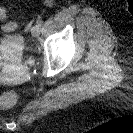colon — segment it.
Wrapping results in <instances>:
<instances>
[{"instance_id": "1", "label": "colon", "mask_w": 133, "mask_h": 133, "mask_svg": "<svg viewBox=\"0 0 133 133\" xmlns=\"http://www.w3.org/2000/svg\"><path fill=\"white\" fill-rule=\"evenodd\" d=\"M7 17V11L3 8V7H0V19H5ZM16 23L14 22H10L8 23V27L10 29H15L16 28ZM2 102L4 104V106H12L15 104L16 102V95L14 92H7L3 95V98H2Z\"/></svg>"}]
</instances>
